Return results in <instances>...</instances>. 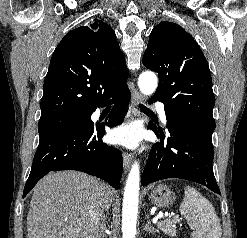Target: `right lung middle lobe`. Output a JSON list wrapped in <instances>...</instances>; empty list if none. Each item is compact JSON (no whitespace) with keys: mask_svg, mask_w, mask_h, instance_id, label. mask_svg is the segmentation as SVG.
Masks as SVG:
<instances>
[{"mask_svg":"<svg viewBox=\"0 0 247 238\" xmlns=\"http://www.w3.org/2000/svg\"><path fill=\"white\" fill-rule=\"evenodd\" d=\"M90 121V116L87 113L68 114L39 121L40 140L72 126L86 125Z\"/></svg>","mask_w":247,"mask_h":238,"instance_id":"dd1d6c3e","label":"right lung middle lobe"}]
</instances>
